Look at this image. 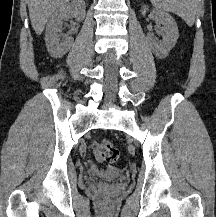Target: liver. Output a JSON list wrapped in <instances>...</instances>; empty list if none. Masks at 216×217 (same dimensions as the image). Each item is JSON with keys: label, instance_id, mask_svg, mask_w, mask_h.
Instances as JSON below:
<instances>
[{"label": "liver", "instance_id": "6515ba94", "mask_svg": "<svg viewBox=\"0 0 216 217\" xmlns=\"http://www.w3.org/2000/svg\"><path fill=\"white\" fill-rule=\"evenodd\" d=\"M69 0H28L31 25L41 35L51 14Z\"/></svg>", "mask_w": 216, "mask_h": 217}]
</instances>
